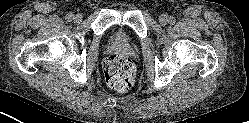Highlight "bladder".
<instances>
[{"label":"bladder","instance_id":"bladder-1","mask_svg":"<svg viewBox=\"0 0 249 123\" xmlns=\"http://www.w3.org/2000/svg\"><path fill=\"white\" fill-rule=\"evenodd\" d=\"M113 39L119 42H123L125 40V37L121 35V33H115L113 35Z\"/></svg>","mask_w":249,"mask_h":123}]
</instances>
